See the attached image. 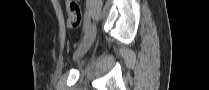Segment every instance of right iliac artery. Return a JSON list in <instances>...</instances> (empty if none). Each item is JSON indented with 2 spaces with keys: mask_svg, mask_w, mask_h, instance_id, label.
Here are the masks:
<instances>
[{
  "mask_svg": "<svg viewBox=\"0 0 209 90\" xmlns=\"http://www.w3.org/2000/svg\"><path fill=\"white\" fill-rule=\"evenodd\" d=\"M90 25V15L88 12L85 13L84 23H83V32L86 33L88 31Z\"/></svg>",
  "mask_w": 209,
  "mask_h": 90,
  "instance_id": "82829eb1",
  "label": "right iliac artery"
}]
</instances>
